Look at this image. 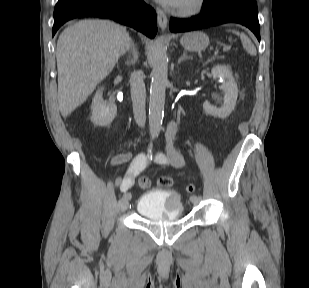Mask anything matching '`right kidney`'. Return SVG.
Here are the masks:
<instances>
[{
	"instance_id": "ca27d5eb",
	"label": "right kidney",
	"mask_w": 309,
	"mask_h": 288,
	"mask_svg": "<svg viewBox=\"0 0 309 288\" xmlns=\"http://www.w3.org/2000/svg\"><path fill=\"white\" fill-rule=\"evenodd\" d=\"M103 88L99 89L92 101L91 121L97 126L109 125L117 114V107L114 103L103 101Z\"/></svg>"
}]
</instances>
